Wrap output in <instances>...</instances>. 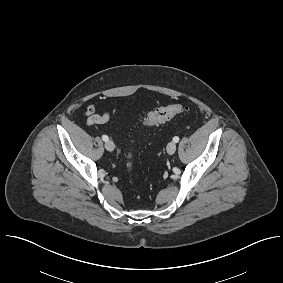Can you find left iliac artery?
Segmentation results:
<instances>
[{
  "label": "left iliac artery",
  "mask_w": 283,
  "mask_h": 283,
  "mask_svg": "<svg viewBox=\"0 0 283 283\" xmlns=\"http://www.w3.org/2000/svg\"><path fill=\"white\" fill-rule=\"evenodd\" d=\"M173 141L177 143V142L179 141V137H178V136H175V137L173 138Z\"/></svg>",
  "instance_id": "left-iliac-artery-1"
}]
</instances>
